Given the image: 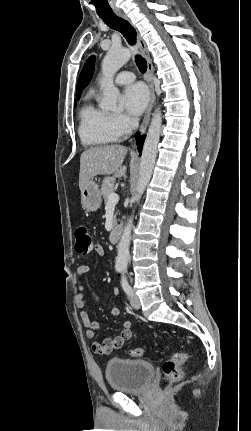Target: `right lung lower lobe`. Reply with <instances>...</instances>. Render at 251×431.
<instances>
[{"mask_svg": "<svg viewBox=\"0 0 251 431\" xmlns=\"http://www.w3.org/2000/svg\"><path fill=\"white\" fill-rule=\"evenodd\" d=\"M145 136H139V134H137V144H138V151L141 154L142 151V147H143V142H144Z\"/></svg>", "mask_w": 251, "mask_h": 431, "instance_id": "obj_1", "label": "right lung lower lobe"}]
</instances>
